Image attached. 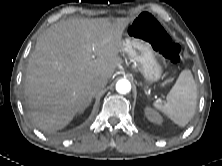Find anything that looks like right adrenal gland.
I'll use <instances>...</instances> for the list:
<instances>
[{
  "mask_svg": "<svg viewBox=\"0 0 222 166\" xmlns=\"http://www.w3.org/2000/svg\"><path fill=\"white\" fill-rule=\"evenodd\" d=\"M93 98H94V95H92V96L89 98L87 104H86L85 107L81 110V112H83V111L91 104V101H92Z\"/></svg>",
  "mask_w": 222,
  "mask_h": 166,
  "instance_id": "1",
  "label": "right adrenal gland"
}]
</instances>
